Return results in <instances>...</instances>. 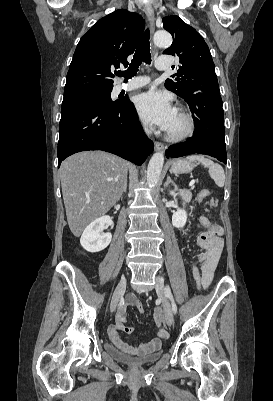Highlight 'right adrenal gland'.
Segmentation results:
<instances>
[{"instance_id":"1","label":"right adrenal gland","mask_w":273,"mask_h":401,"mask_svg":"<svg viewBox=\"0 0 273 401\" xmlns=\"http://www.w3.org/2000/svg\"><path fill=\"white\" fill-rule=\"evenodd\" d=\"M127 182H128V180H127V178H126V182H125V184H124V190H123V192H126ZM121 196H122V194H121Z\"/></svg>"}]
</instances>
